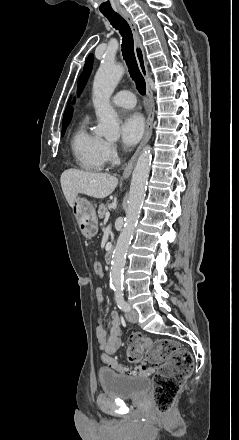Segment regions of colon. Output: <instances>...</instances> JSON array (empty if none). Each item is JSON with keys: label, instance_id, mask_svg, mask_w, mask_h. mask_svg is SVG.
I'll use <instances>...</instances> for the list:
<instances>
[{"label": "colon", "instance_id": "colon-1", "mask_svg": "<svg viewBox=\"0 0 239 440\" xmlns=\"http://www.w3.org/2000/svg\"><path fill=\"white\" fill-rule=\"evenodd\" d=\"M93 270L97 275L102 274V266L96 259ZM144 352L148 355L149 365L142 362ZM126 354L133 365L125 366L114 359L112 367L120 373H154V402L160 413L167 412L193 370L192 354L172 340L152 341L138 333L129 337Z\"/></svg>", "mask_w": 239, "mask_h": 440}]
</instances>
